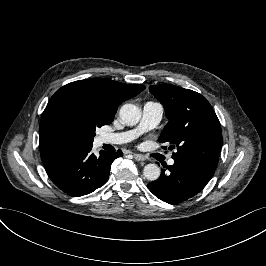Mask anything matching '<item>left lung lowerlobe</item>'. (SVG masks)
Here are the masks:
<instances>
[{
    "label": "left lung lower lobe",
    "mask_w": 266,
    "mask_h": 266,
    "mask_svg": "<svg viewBox=\"0 0 266 266\" xmlns=\"http://www.w3.org/2000/svg\"><path fill=\"white\" fill-rule=\"evenodd\" d=\"M161 170L160 177L148 183V189L169 204L181 203L198 194L214 175L215 168L205 163L174 158V164Z\"/></svg>",
    "instance_id": "left-lung-lower-lobe-1"
}]
</instances>
